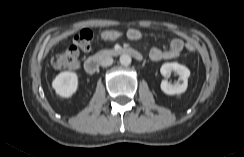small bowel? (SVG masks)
Wrapping results in <instances>:
<instances>
[{
	"label": "small bowel",
	"instance_id": "1",
	"mask_svg": "<svg viewBox=\"0 0 244 157\" xmlns=\"http://www.w3.org/2000/svg\"><path fill=\"white\" fill-rule=\"evenodd\" d=\"M142 34L138 29H129L126 33V37L130 41H136L141 38ZM184 50V43L179 38H174L170 42V46L166 50L160 48H152L149 53V59L157 62L161 60H169L180 57Z\"/></svg>",
	"mask_w": 244,
	"mask_h": 157
}]
</instances>
